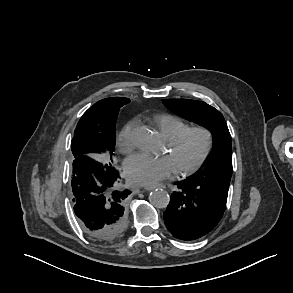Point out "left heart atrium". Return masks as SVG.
Instances as JSON below:
<instances>
[{"label":"left heart atrium","instance_id":"left-heart-atrium-1","mask_svg":"<svg viewBox=\"0 0 293 293\" xmlns=\"http://www.w3.org/2000/svg\"><path fill=\"white\" fill-rule=\"evenodd\" d=\"M128 179L138 185L153 186L160 181L170 178L176 171L169 156H153L138 153L126 161Z\"/></svg>","mask_w":293,"mask_h":293}]
</instances>
